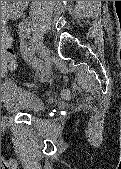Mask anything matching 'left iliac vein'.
<instances>
[{
	"label": "left iliac vein",
	"instance_id": "1",
	"mask_svg": "<svg viewBox=\"0 0 121 169\" xmlns=\"http://www.w3.org/2000/svg\"><path fill=\"white\" fill-rule=\"evenodd\" d=\"M36 46H37L38 53H39V56L41 57V59L43 61L47 62L50 57V50L42 42H38ZM48 77H49V69L46 68L43 71L40 80L42 82H44L48 79Z\"/></svg>",
	"mask_w": 121,
	"mask_h": 169
}]
</instances>
